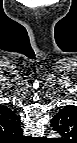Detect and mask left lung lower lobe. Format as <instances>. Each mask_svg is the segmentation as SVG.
<instances>
[{"instance_id":"obj_1","label":"left lung lower lobe","mask_w":77,"mask_h":143,"mask_svg":"<svg viewBox=\"0 0 77 143\" xmlns=\"http://www.w3.org/2000/svg\"><path fill=\"white\" fill-rule=\"evenodd\" d=\"M75 108L73 106H66L61 109L51 120V126L59 124L64 121H71Z\"/></svg>"}]
</instances>
